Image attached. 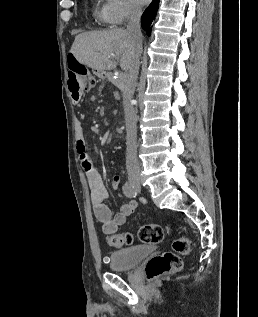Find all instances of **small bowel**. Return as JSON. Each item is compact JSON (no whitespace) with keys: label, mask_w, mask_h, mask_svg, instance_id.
<instances>
[{"label":"small bowel","mask_w":258,"mask_h":317,"mask_svg":"<svg viewBox=\"0 0 258 317\" xmlns=\"http://www.w3.org/2000/svg\"><path fill=\"white\" fill-rule=\"evenodd\" d=\"M74 136L80 163L90 188V197L95 217L100 222L103 232L107 235H113L120 226L126 223L127 218L134 213L137 203L134 200H130L121 206L119 213L115 215L112 213L110 207L106 204L108 191L100 173L94 167L87 153L84 127L78 119L74 121ZM120 184L121 177L114 176L111 180L112 187L117 189Z\"/></svg>","instance_id":"1"}]
</instances>
